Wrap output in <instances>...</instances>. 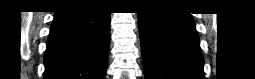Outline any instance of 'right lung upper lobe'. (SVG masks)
<instances>
[{
	"label": "right lung upper lobe",
	"mask_w": 255,
	"mask_h": 79,
	"mask_svg": "<svg viewBox=\"0 0 255 79\" xmlns=\"http://www.w3.org/2000/svg\"><path fill=\"white\" fill-rule=\"evenodd\" d=\"M86 1H75V2H69V3H84Z\"/></svg>",
	"instance_id": "1"
}]
</instances>
